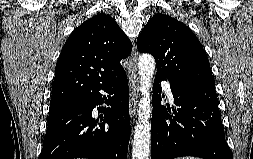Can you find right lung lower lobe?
<instances>
[{"mask_svg": "<svg viewBox=\"0 0 253 159\" xmlns=\"http://www.w3.org/2000/svg\"><path fill=\"white\" fill-rule=\"evenodd\" d=\"M100 90L108 93L102 96ZM128 81L125 71L48 118L38 159H127L130 139ZM99 107L101 123L93 118Z\"/></svg>", "mask_w": 253, "mask_h": 159, "instance_id": "98d812e1", "label": "right lung lower lobe"}]
</instances>
